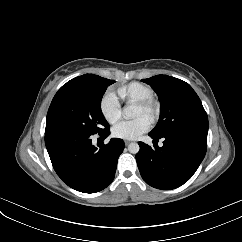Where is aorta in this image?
Listing matches in <instances>:
<instances>
[{"label":"aorta","mask_w":242,"mask_h":242,"mask_svg":"<svg viewBox=\"0 0 242 242\" xmlns=\"http://www.w3.org/2000/svg\"><path fill=\"white\" fill-rule=\"evenodd\" d=\"M137 109L135 106H126L124 109H123V114L126 118L130 119V118H134L136 115H137ZM139 145L138 143H130L129 146H128V150L130 153L132 154H137L139 152Z\"/></svg>","instance_id":"762f6f07"}]
</instances>
